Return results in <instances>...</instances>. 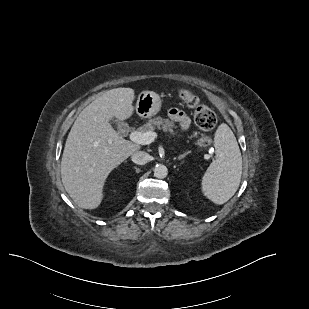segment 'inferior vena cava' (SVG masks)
<instances>
[{
    "instance_id": "inferior-vena-cava-1",
    "label": "inferior vena cava",
    "mask_w": 309,
    "mask_h": 309,
    "mask_svg": "<svg viewBox=\"0 0 309 309\" xmlns=\"http://www.w3.org/2000/svg\"><path fill=\"white\" fill-rule=\"evenodd\" d=\"M131 159L135 164L144 165L150 161V156L144 151H135L131 155Z\"/></svg>"
}]
</instances>
